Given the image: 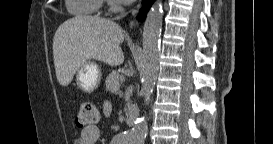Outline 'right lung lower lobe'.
Masks as SVG:
<instances>
[{"instance_id":"obj_1","label":"right lung lower lobe","mask_w":273,"mask_h":144,"mask_svg":"<svg viewBox=\"0 0 273 144\" xmlns=\"http://www.w3.org/2000/svg\"><path fill=\"white\" fill-rule=\"evenodd\" d=\"M155 0H144V7L141 10L140 17L141 19L145 18L146 11L150 8V6L153 4Z\"/></svg>"}]
</instances>
